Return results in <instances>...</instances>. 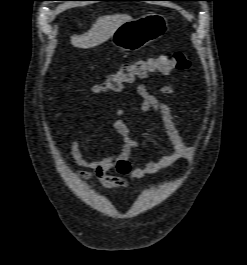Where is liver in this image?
<instances>
[{
    "label": "liver",
    "instance_id": "1",
    "mask_svg": "<svg viewBox=\"0 0 247 265\" xmlns=\"http://www.w3.org/2000/svg\"><path fill=\"white\" fill-rule=\"evenodd\" d=\"M132 20L127 14H114L99 17L82 35L71 36V44L76 48L89 49L96 47L113 36L115 31L125 22Z\"/></svg>",
    "mask_w": 247,
    "mask_h": 265
}]
</instances>
